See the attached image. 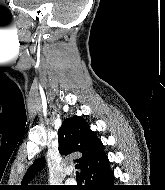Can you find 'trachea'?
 <instances>
[{
	"label": "trachea",
	"mask_w": 165,
	"mask_h": 190,
	"mask_svg": "<svg viewBox=\"0 0 165 190\" xmlns=\"http://www.w3.org/2000/svg\"><path fill=\"white\" fill-rule=\"evenodd\" d=\"M78 168H79V165L76 164V165H75V169L78 170ZM76 176L79 177V173H78V172H76Z\"/></svg>",
	"instance_id": "3493384b"
}]
</instances>
